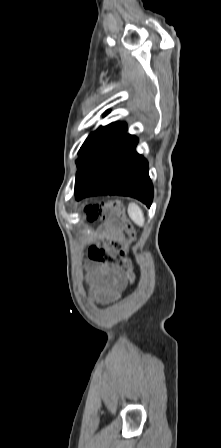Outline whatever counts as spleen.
<instances>
[{
	"label": "spleen",
	"mask_w": 221,
	"mask_h": 448,
	"mask_svg": "<svg viewBox=\"0 0 221 448\" xmlns=\"http://www.w3.org/2000/svg\"><path fill=\"white\" fill-rule=\"evenodd\" d=\"M128 215L138 226H144V215L142 209L136 203H130L128 206Z\"/></svg>",
	"instance_id": "obj_1"
}]
</instances>
